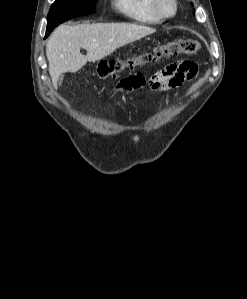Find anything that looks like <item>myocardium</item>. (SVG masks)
Returning a JSON list of instances; mask_svg holds the SVG:
<instances>
[{
    "label": "myocardium",
    "mask_w": 247,
    "mask_h": 299,
    "mask_svg": "<svg viewBox=\"0 0 247 299\" xmlns=\"http://www.w3.org/2000/svg\"><path fill=\"white\" fill-rule=\"evenodd\" d=\"M170 4L172 10L170 12L165 11L164 4ZM154 9L161 19H169L174 17L178 11L177 0H154Z\"/></svg>",
    "instance_id": "1"
}]
</instances>
